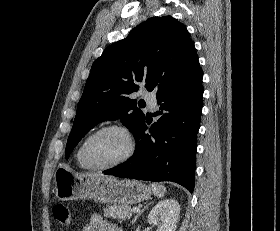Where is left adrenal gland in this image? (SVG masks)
Wrapping results in <instances>:
<instances>
[{"label": "left adrenal gland", "instance_id": "a2214340", "mask_svg": "<svg viewBox=\"0 0 280 231\" xmlns=\"http://www.w3.org/2000/svg\"><path fill=\"white\" fill-rule=\"evenodd\" d=\"M150 203H152V201H150ZM150 203H146V205H144V207H142L141 211H138L137 215H135L134 219H132L131 223H135L136 219H138L139 215H141V213H143V211H145V209H147L148 205H150Z\"/></svg>", "mask_w": 280, "mask_h": 231}]
</instances>
